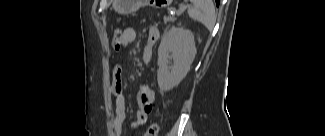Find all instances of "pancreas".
<instances>
[{"label":"pancreas","instance_id":"1","mask_svg":"<svg viewBox=\"0 0 325 136\" xmlns=\"http://www.w3.org/2000/svg\"><path fill=\"white\" fill-rule=\"evenodd\" d=\"M175 18H176V16H169V12H161L160 18L158 21L160 24H166L168 22V19L173 20Z\"/></svg>","mask_w":325,"mask_h":136}]
</instances>
